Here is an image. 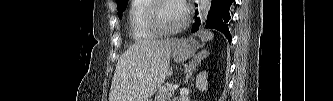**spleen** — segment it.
I'll use <instances>...</instances> for the list:
<instances>
[{"mask_svg": "<svg viewBox=\"0 0 333 101\" xmlns=\"http://www.w3.org/2000/svg\"><path fill=\"white\" fill-rule=\"evenodd\" d=\"M200 36L203 40H211L214 37L213 33L207 31L200 33Z\"/></svg>", "mask_w": 333, "mask_h": 101, "instance_id": "spleen-1", "label": "spleen"}]
</instances>
